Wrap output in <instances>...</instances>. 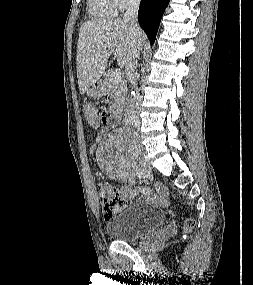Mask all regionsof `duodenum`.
Returning <instances> with one entry per match:
<instances>
[{"label":"duodenum","instance_id":"obj_1","mask_svg":"<svg viewBox=\"0 0 253 285\" xmlns=\"http://www.w3.org/2000/svg\"><path fill=\"white\" fill-rule=\"evenodd\" d=\"M95 88L97 91H101L102 90V84L97 83ZM109 118H110V121L112 122V124H114V125L117 124L121 119V111L117 110L113 113H110Z\"/></svg>","mask_w":253,"mask_h":285}]
</instances>
